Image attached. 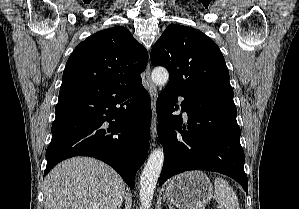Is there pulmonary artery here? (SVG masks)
<instances>
[{"mask_svg": "<svg viewBox=\"0 0 299 209\" xmlns=\"http://www.w3.org/2000/svg\"><path fill=\"white\" fill-rule=\"evenodd\" d=\"M179 100H180V101H182V100H183V98H182V97H180V98H179Z\"/></svg>", "mask_w": 299, "mask_h": 209, "instance_id": "1", "label": "pulmonary artery"}]
</instances>
